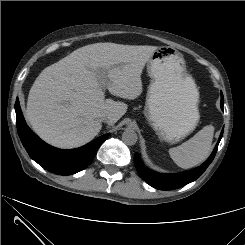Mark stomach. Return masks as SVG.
<instances>
[{
    "mask_svg": "<svg viewBox=\"0 0 245 245\" xmlns=\"http://www.w3.org/2000/svg\"><path fill=\"white\" fill-rule=\"evenodd\" d=\"M147 72L151 82L144 114L162 140L179 142L199 123L197 85L183 55L172 47H158L147 62Z\"/></svg>",
    "mask_w": 245,
    "mask_h": 245,
    "instance_id": "1",
    "label": "stomach"
}]
</instances>
